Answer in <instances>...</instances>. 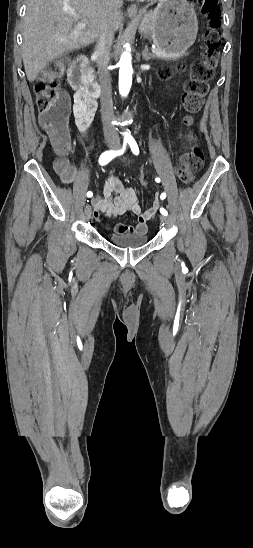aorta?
<instances>
[{
  "label": "aorta",
  "instance_id": "1",
  "mask_svg": "<svg viewBox=\"0 0 253 548\" xmlns=\"http://www.w3.org/2000/svg\"><path fill=\"white\" fill-rule=\"evenodd\" d=\"M128 49V45H126ZM119 93L122 96H127L132 85V57L127 51L123 52L119 60ZM126 138L130 137V134H125Z\"/></svg>",
  "mask_w": 253,
  "mask_h": 548
}]
</instances>
